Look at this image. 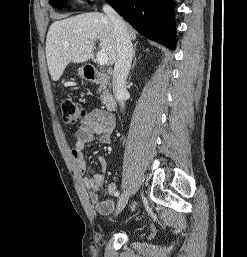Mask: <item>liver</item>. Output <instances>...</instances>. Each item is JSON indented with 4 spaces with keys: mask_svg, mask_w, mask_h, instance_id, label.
Here are the masks:
<instances>
[{
    "mask_svg": "<svg viewBox=\"0 0 247 257\" xmlns=\"http://www.w3.org/2000/svg\"><path fill=\"white\" fill-rule=\"evenodd\" d=\"M126 26L131 40H135L136 31ZM96 40L100 41L101 51L107 55L109 64H114L117 42L113 23L107 15L91 12L55 21L46 39V58L52 80L58 81L70 62L88 61Z\"/></svg>",
    "mask_w": 247,
    "mask_h": 257,
    "instance_id": "obj_1",
    "label": "liver"
}]
</instances>
